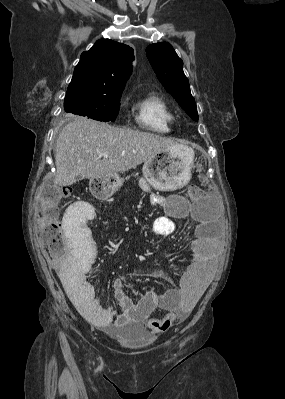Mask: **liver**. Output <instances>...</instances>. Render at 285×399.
<instances>
[{
    "label": "liver",
    "mask_w": 285,
    "mask_h": 399,
    "mask_svg": "<svg viewBox=\"0 0 285 399\" xmlns=\"http://www.w3.org/2000/svg\"><path fill=\"white\" fill-rule=\"evenodd\" d=\"M177 145L153 133L76 117L58 136L54 183L69 186L77 177L91 180L118 175ZM99 153H107L108 158L101 160Z\"/></svg>",
    "instance_id": "obj_1"
}]
</instances>
